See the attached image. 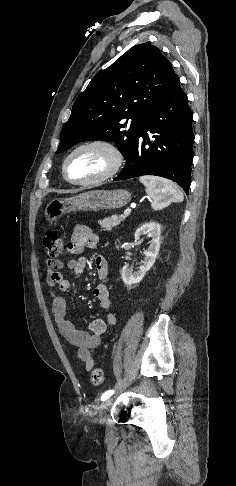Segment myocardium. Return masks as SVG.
<instances>
[{"instance_id":"obj_1","label":"myocardium","mask_w":236,"mask_h":486,"mask_svg":"<svg viewBox=\"0 0 236 486\" xmlns=\"http://www.w3.org/2000/svg\"><path fill=\"white\" fill-rule=\"evenodd\" d=\"M92 147L102 148L109 153L111 157V165L109 169L103 174L89 180H83V181L73 180L68 175V163L70 159L80 150L86 148H92ZM123 162H124V155L117 145L106 140H93L78 145L67 155V157L63 162L62 173L65 180L70 184L78 185V186L95 185L113 178L120 171Z\"/></svg>"}]
</instances>
